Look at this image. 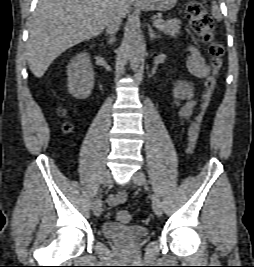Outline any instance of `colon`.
Returning a JSON list of instances; mask_svg holds the SVG:
<instances>
[{
	"label": "colon",
	"instance_id": "1",
	"mask_svg": "<svg viewBox=\"0 0 254 267\" xmlns=\"http://www.w3.org/2000/svg\"><path fill=\"white\" fill-rule=\"evenodd\" d=\"M186 16L190 22L193 32L208 45V53L211 57L212 64V72L205 81L199 111L195 115L187 131L188 151L193 152L199 138V129L203 111L207 106L214 89L216 75L222 67L225 51L223 45L215 40L213 19L208 14L204 4L200 0H190L187 3ZM59 114L64 115L65 110L60 108ZM64 129L69 132L71 131L72 126L67 123L64 125ZM116 218L121 223H127L130 221L131 215L126 210H120L117 212Z\"/></svg>",
	"mask_w": 254,
	"mask_h": 267
}]
</instances>
